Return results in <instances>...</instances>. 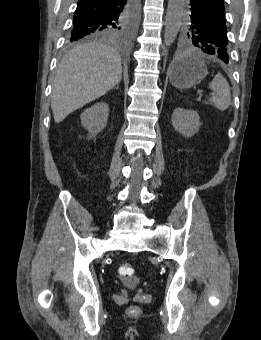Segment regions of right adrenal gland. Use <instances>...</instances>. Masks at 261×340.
Masks as SVG:
<instances>
[{
    "instance_id": "1",
    "label": "right adrenal gland",
    "mask_w": 261,
    "mask_h": 340,
    "mask_svg": "<svg viewBox=\"0 0 261 340\" xmlns=\"http://www.w3.org/2000/svg\"><path fill=\"white\" fill-rule=\"evenodd\" d=\"M118 86H119V83L117 84L116 89H118Z\"/></svg>"
}]
</instances>
